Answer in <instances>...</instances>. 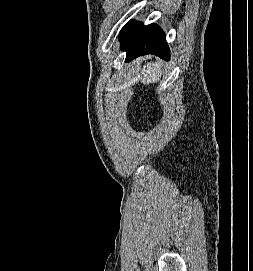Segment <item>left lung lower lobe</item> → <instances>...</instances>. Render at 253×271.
Returning <instances> with one entry per match:
<instances>
[{
  "label": "left lung lower lobe",
  "instance_id": "0a47b994",
  "mask_svg": "<svg viewBox=\"0 0 253 271\" xmlns=\"http://www.w3.org/2000/svg\"><path fill=\"white\" fill-rule=\"evenodd\" d=\"M120 43L127 52V61L145 54L170 59L166 36L156 24L143 26L140 22L129 21L120 31Z\"/></svg>",
  "mask_w": 253,
  "mask_h": 271
}]
</instances>
